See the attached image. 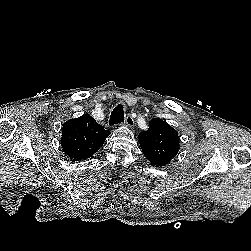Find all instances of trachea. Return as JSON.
<instances>
[{
	"mask_svg": "<svg viewBox=\"0 0 251 251\" xmlns=\"http://www.w3.org/2000/svg\"><path fill=\"white\" fill-rule=\"evenodd\" d=\"M124 121V111H123V106L121 104H119L118 106H116L111 115H110V121H109V125H114V124H118Z\"/></svg>",
	"mask_w": 251,
	"mask_h": 251,
	"instance_id": "trachea-1",
	"label": "trachea"
}]
</instances>
